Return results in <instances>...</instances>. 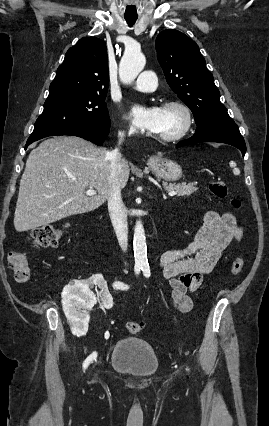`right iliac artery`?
<instances>
[{
    "mask_svg": "<svg viewBox=\"0 0 269 426\" xmlns=\"http://www.w3.org/2000/svg\"><path fill=\"white\" fill-rule=\"evenodd\" d=\"M135 272H136V274H139V272H140V267H135ZM117 288H119V289H128L129 287L127 286V285H125V284H122V283H115L114 284ZM96 357H97V353L96 352H93L92 354H90L86 359H85V361H84V363H83V369L85 370L87 367H88V365L93 361V360H95L96 359Z\"/></svg>",
    "mask_w": 269,
    "mask_h": 426,
    "instance_id": "obj_1",
    "label": "right iliac artery"
}]
</instances>
